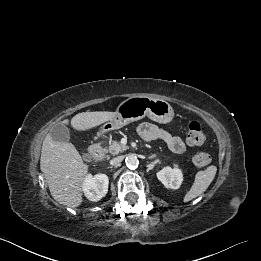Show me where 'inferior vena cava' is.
<instances>
[{
	"label": "inferior vena cava",
	"instance_id": "inferior-vena-cava-1",
	"mask_svg": "<svg viewBox=\"0 0 261 261\" xmlns=\"http://www.w3.org/2000/svg\"><path fill=\"white\" fill-rule=\"evenodd\" d=\"M123 160V157L122 156H118V157H115L113 158L111 161H110V164L112 166H118Z\"/></svg>",
	"mask_w": 261,
	"mask_h": 261
}]
</instances>
